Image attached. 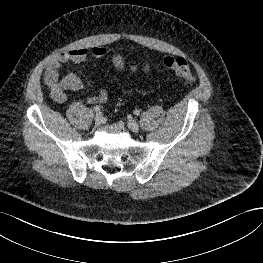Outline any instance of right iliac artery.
<instances>
[{
    "label": "right iliac artery",
    "instance_id": "1",
    "mask_svg": "<svg viewBox=\"0 0 263 263\" xmlns=\"http://www.w3.org/2000/svg\"><path fill=\"white\" fill-rule=\"evenodd\" d=\"M94 111H95V112H99V111H100V107H99V106H95V107H94Z\"/></svg>",
    "mask_w": 263,
    "mask_h": 263
}]
</instances>
